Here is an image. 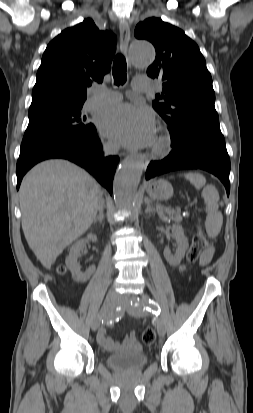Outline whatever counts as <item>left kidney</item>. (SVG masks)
Segmentation results:
<instances>
[{
	"label": "left kidney",
	"mask_w": 253,
	"mask_h": 413,
	"mask_svg": "<svg viewBox=\"0 0 253 413\" xmlns=\"http://www.w3.org/2000/svg\"><path fill=\"white\" fill-rule=\"evenodd\" d=\"M172 237L177 242V248L175 253L172 254L168 248H165L163 254L170 265L176 266L180 264L181 260L183 259L189 244L187 237L184 235V230L182 226L178 224L172 226Z\"/></svg>",
	"instance_id": "1"
}]
</instances>
